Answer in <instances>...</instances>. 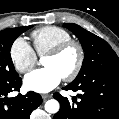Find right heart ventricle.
Instances as JSON below:
<instances>
[{
  "label": "right heart ventricle",
  "instance_id": "obj_1",
  "mask_svg": "<svg viewBox=\"0 0 119 119\" xmlns=\"http://www.w3.org/2000/svg\"><path fill=\"white\" fill-rule=\"evenodd\" d=\"M31 38L36 53L43 56L57 45L71 40L72 35L62 27L44 26L33 31Z\"/></svg>",
  "mask_w": 119,
  "mask_h": 119
}]
</instances>
